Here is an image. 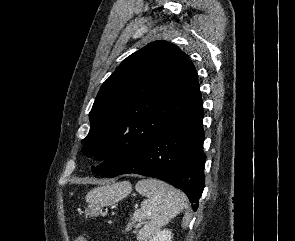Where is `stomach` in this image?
<instances>
[{
    "label": "stomach",
    "instance_id": "1",
    "mask_svg": "<svg viewBox=\"0 0 295 241\" xmlns=\"http://www.w3.org/2000/svg\"><path fill=\"white\" fill-rule=\"evenodd\" d=\"M130 191L131 185L128 182L94 188L86 196V202L88 203L86 213L91 216H98L103 207L121 200Z\"/></svg>",
    "mask_w": 295,
    "mask_h": 241
}]
</instances>
